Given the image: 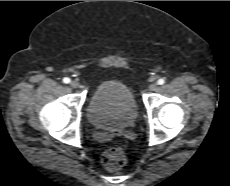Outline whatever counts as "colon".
<instances>
[{
    "instance_id": "1",
    "label": "colon",
    "mask_w": 230,
    "mask_h": 186,
    "mask_svg": "<svg viewBox=\"0 0 230 186\" xmlns=\"http://www.w3.org/2000/svg\"><path fill=\"white\" fill-rule=\"evenodd\" d=\"M103 166L109 171H118L126 163V153L121 146L106 150L101 158Z\"/></svg>"
}]
</instances>
